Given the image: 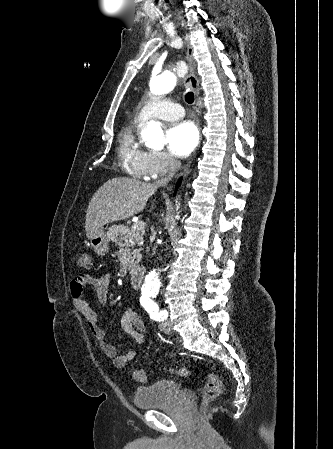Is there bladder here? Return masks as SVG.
Wrapping results in <instances>:
<instances>
[{"mask_svg":"<svg viewBox=\"0 0 333 449\" xmlns=\"http://www.w3.org/2000/svg\"><path fill=\"white\" fill-rule=\"evenodd\" d=\"M182 392L181 384L174 380H160L134 392V405L142 410H153L173 405Z\"/></svg>","mask_w":333,"mask_h":449,"instance_id":"bladder-1","label":"bladder"}]
</instances>
